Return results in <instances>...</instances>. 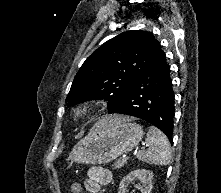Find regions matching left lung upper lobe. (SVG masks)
<instances>
[{"instance_id": "5c2ea615", "label": "left lung upper lobe", "mask_w": 221, "mask_h": 193, "mask_svg": "<svg viewBox=\"0 0 221 193\" xmlns=\"http://www.w3.org/2000/svg\"><path fill=\"white\" fill-rule=\"evenodd\" d=\"M164 52L151 32L126 31L95 50L76 74L68 106L92 99L108 101V110L127 95L132 82Z\"/></svg>"}]
</instances>
